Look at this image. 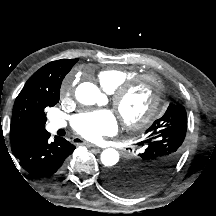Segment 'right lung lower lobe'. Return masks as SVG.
Masks as SVG:
<instances>
[{"label":"right lung lower lobe","instance_id":"1","mask_svg":"<svg viewBox=\"0 0 216 216\" xmlns=\"http://www.w3.org/2000/svg\"><path fill=\"white\" fill-rule=\"evenodd\" d=\"M50 134L45 130L33 135L22 148L14 153L20 165L32 176L50 179L60 174L66 158L71 155L75 146L62 137L49 141Z\"/></svg>","mask_w":216,"mask_h":216}]
</instances>
